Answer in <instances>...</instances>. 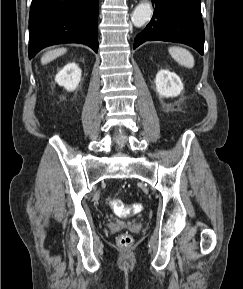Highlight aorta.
I'll list each match as a JSON object with an SVG mask.
<instances>
[{
	"label": "aorta",
	"mask_w": 243,
	"mask_h": 289,
	"mask_svg": "<svg viewBox=\"0 0 243 289\" xmlns=\"http://www.w3.org/2000/svg\"><path fill=\"white\" fill-rule=\"evenodd\" d=\"M152 17V6L148 2H142L136 6L132 13V22L134 26L141 27Z\"/></svg>",
	"instance_id": "1"
}]
</instances>
